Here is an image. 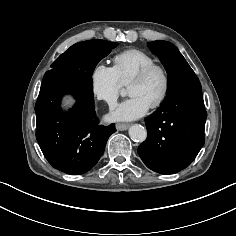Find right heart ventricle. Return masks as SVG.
Returning a JSON list of instances; mask_svg holds the SVG:
<instances>
[{
  "label": "right heart ventricle",
  "instance_id": "obj_1",
  "mask_svg": "<svg viewBox=\"0 0 236 236\" xmlns=\"http://www.w3.org/2000/svg\"><path fill=\"white\" fill-rule=\"evenodd\" d=\"M114 69L123 85H129L135 75L146 66L155 63V59L140 49H128L113 58Z\"/></svg>",
  "mask_w": 236,
  "mask_h": 236
}]
</instances>
